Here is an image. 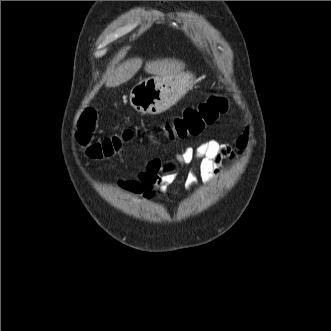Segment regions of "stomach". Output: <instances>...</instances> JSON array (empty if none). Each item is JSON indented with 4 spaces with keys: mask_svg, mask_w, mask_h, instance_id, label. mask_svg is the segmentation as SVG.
I'll return each mask as SVG.
<instances>
[{
    "mask_svg": "<svg viewBox=\"0 0 331 331\" xmlns=\"http://www.w3.org/2000/svg\"><path fill=\"white\" fill-rule=\"evenodd\" d=\"M193 82L190 73L172 78L152 76L139 81L130 91V104L140 113L156 115L175 104Z\"/></svg>",
    "mask_w": 331,
    "mask_h": 331,
    "instance_id": "1",
    "label": "stomach"
}]
</instances>
